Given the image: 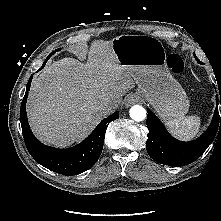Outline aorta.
<instances>
[{"label":"aorta","instance_id":"obj_1","mask_svg":"<svg viewBox=\"0 0 221 221\" xmlns=\"http://www.w3.org/2000/svg\"><path fill=\"white\" fill-rule=\"evenodd\" d=\"M131 119L136 122L143 121L146 118V110L140 105H134L129 111Z\"/></svg>","mask_w":221,"mask_h":221}]
</instances>
